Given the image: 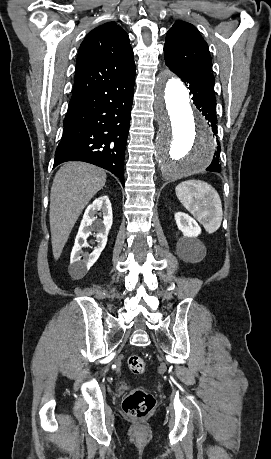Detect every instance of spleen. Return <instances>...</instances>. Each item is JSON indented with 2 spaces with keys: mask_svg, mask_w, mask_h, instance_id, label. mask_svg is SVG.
<instances>
[{
  "mask_svg": "<svg viewBox=\"0 0 271 459\" xmlns=\"http://www.w3.org/2000/svg\"><path fill=\"white\" fill-rule=\"evenodd\" d=\"M176 196L188 212L204 226L208 233L220 228L223 216L222 204L216 190L200 180H187L175 188Z\"/></svg>",
  "mask_w": 271,
  "mask_h": 459,
  "instance_id": "spleen-1",
  "label": "spleen"
}]
</instances>
